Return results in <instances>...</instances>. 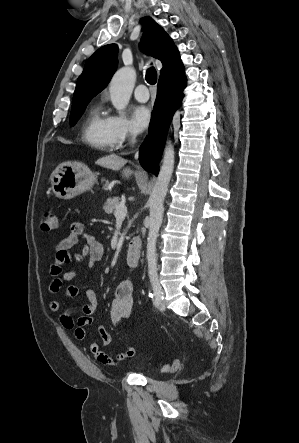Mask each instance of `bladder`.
Instances as JSON below:
<instances>
[{
  "mask_svg": "<svg viewBox=\"0 0 299 443\" xmlns=\"http://www.w3.org/2000/svg\"><path fill=\"white\" fill-rule=\"evenodd\" d=\"M147 376L150 377V378H154V377H155V374H153V373H148Z\"/></svg>",
  "mask_w": 299,
  "mask_h": 443,
  "instance_id": "obj_1",
  "label": "bladder"
}]
</instances>
